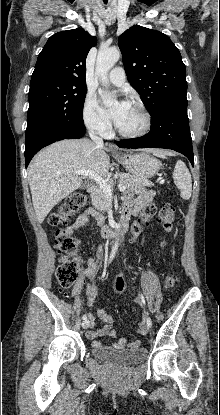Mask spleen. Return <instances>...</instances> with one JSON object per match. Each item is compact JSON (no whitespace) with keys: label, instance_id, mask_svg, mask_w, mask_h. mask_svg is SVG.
<instances>
[{"label":"spleen","instance_id":"3e777b00","mask_svg":"<svg viewBox=\"0 0 220 415\" xmlns=\"http://www.w3.org/2000/svg\"><path fill=\"white\" fill-rule=\"evenodd\" d=\"M153 154L160 158H167V156L170 155L168 152L162 150H154ZM173 178L175 185L181 191V197L188 200L191 197L192 192V179L191 174L183 161H177Z\"/></svg>","mask_w":220,"mask_h":415}]
</instances>
